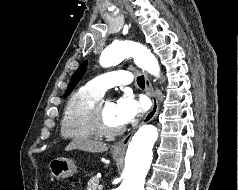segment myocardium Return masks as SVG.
Wrapping results in <instances>:
<instances>
[{"instance_id":"1","label":"myocardium","mask_w":238,"mask_h":190,"mask_svg":"<svg viewBox=\"0 0 238 190\" xmlns=\"http://www.w3.org/2000/svg\"><path fill=\"white\" fill-rule=\"evenodd\" d=\"M107 100L108 99L102 98L98 100L93 108L91 120L93 127L99 135L113 137L123 133L125 131V126L112 127L107 123L104 113V104Z\"/></svg>"}]
</instances>
